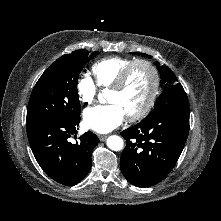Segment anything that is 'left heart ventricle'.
Here are the masks:
<instances>
[{"label": "left heart ventricle", "instance_id": "left-heart-ventricle-1", "mask_svg": "<svg viewBox=\"0 0 221 221\" xmlns=\"http://www.w3.org/2000/svg\"><path fill=\"white\" fill-rule=\"evenodd\" d=\"M152 87V75L144 66L136 67L121 91L110 90L108 101L119 104L126 116L138 112L146 103Z\"/></svg>", "mask_w": 221, "mask_h": 221}]
</instances>
